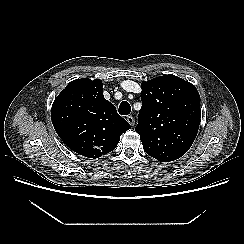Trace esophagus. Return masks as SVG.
<instances>
[{
	"mask_svg": "<svg viewBox=\"0 0 244 244\" xmlns=\"http://www.w3.org/2000/svg\"><path fill=\"white\" fill-rule=\"evenodd\" d=\"M126 120L131 126L135 125V119L132 116H128Z\"/></svg>",
	"mask_w": 244,
	"mask_h": 244,
	"instance_id": "1",
	"label": "esophagus"
}]
</instances>
